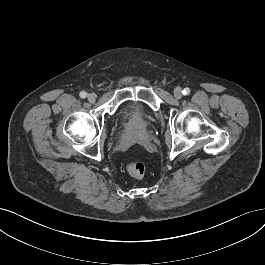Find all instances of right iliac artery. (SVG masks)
Here are the masks:
<instances>
[{
    "label": "right iliac artery",
    "instance_id": "1",
    "mask_svg": "<svg viewBox=\"0 0 265 265\" xmlns=\"http://www.w3.org/2000/svg\"><path fill=\"white\" fill-rule=\"evenodd\" d=\"M80 97L81 98H86L87 97V93L84 92V91L80 92Z\"/></svg>",
    "mask_w": 265,
    "mask_h": 265
}]
</instances>
